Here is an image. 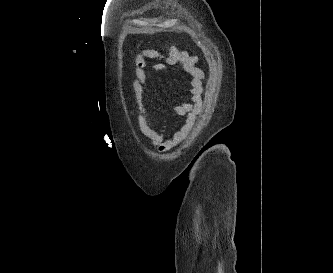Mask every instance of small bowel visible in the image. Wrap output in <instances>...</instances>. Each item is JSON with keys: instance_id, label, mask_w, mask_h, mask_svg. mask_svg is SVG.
<instances>
[{"instance_id": "1", "label": "small bowel", "mask_w": 333, "mask_h": 273, "mask_svg": "<svg viewBox=\"0 0 333 273\" xmlns=\"http://www.w3.org/2000/svg\"><path fill=\"white\" fill-rule=\"evenodd\" d=\"M147 59L159 60L154 64L155 71L165 70L169 66L178 65L189 77L191 103H182L176 113L179 116H188L190 120L194 116V112L202 105V84L204 73L196 66L197 57L190 55L185 50H179L176 46L168 49H143L135 55L133 72L135 78L132 80L131 86L136 98V115L137 126L141 134L160 152L170 150L174 144L182 137L187 125L182 131L171 139L164 138V129H158L146 108L145 94L147 91V83L149 77V68Z\"/></svg>"}]
</instances>
